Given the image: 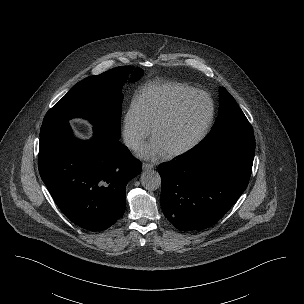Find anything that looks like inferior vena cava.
Instances as JSON below:
<instances>
[{"label": "inferior vena cava", "instance_id": "1", "mask_svg": "<svg viewBox=\"0 0 304 304\" xmlns=\"http://www.w3.org/2000/svg\"><path fill=\"white\" fill-rule=\"evenodd\" d=\"M139 140L136 137L126 136L124 138V143L129 148H135L138 144Z\"/></svg>", "mask_w": 304, "mask_h": 304}]
</instances>
